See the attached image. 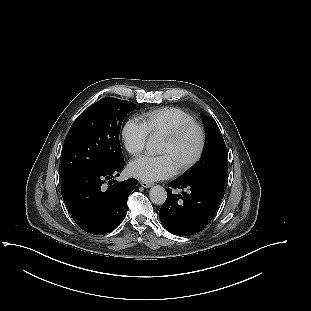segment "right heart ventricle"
I'll return each mask as SVG.
<instances>
[{
	"label": "right heart ventricle",
	"mask_w": 311,
	"mask_h": 311,
	"mask_svg": "<svg viewBox=\"0 0 311 311\" xmlns=\"http://www.w3.org/2000/svg\"><path fill=\"white\" fill-rule=\"evenodd\" d=\"M192 121L193 115L179 107H163L142 116V123L151 137L162 136L179 125Z\"/></svg>",
	"instance_id": "e07e8e85"
}]
</instances>
